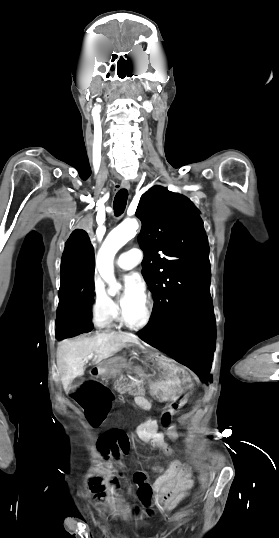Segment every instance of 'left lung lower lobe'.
I'll use <instances>...</instances> for the list:
<instances>
[{"instance_id":"1","label":"left lung lower lobe","mask_w":279,"mask_h":538,"mask_svg":"<svg viewBox=\"0 0 279 538\" xmlns=\"http://www.w3.org/2000/svg\"><path fill=\"white\" fill-rule=\"evenodd\" d=\"M215 325L212 299L207 292L188 303L165 328L143 329L137 334L206 380L212 365Z\"/></svg>"}]
</instances>
